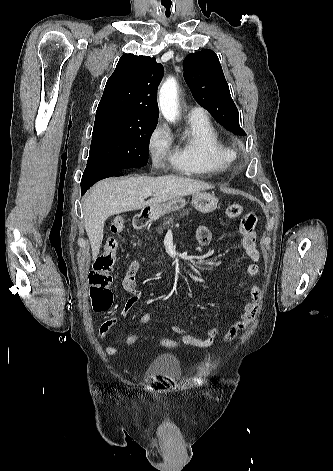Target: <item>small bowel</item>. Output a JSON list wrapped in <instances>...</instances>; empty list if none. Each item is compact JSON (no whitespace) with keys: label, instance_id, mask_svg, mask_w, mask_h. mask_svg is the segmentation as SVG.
Instances as JSON below:
<instances>
[{"label":"small bowel","instance_id":"small-bowel-1","mask_svg":"<svg viewBox=\"0 0 333 471\" xmlns=\"http://www.w3.org/2000/svg\"><path fill=\"white\" fill-rule=\"evenodd\" d=\"M255 216L252 213L246 214L239 225V232L242 235V245L245 253L251 264L246 269L248 277H254L259 273V266L257 262L260 259V253L256 246V233H255ZM196 241L201 246H206L211 241V232L206 226H199L196 230ZM140 269V263L137 260H133L123 278L122 287L126 292L130 294V297L125 302L121 310V316L126 317L134 306L138 303L141 298V291L138 289L136 284V276ZM263 292L262 290L251 283L249 285V300L245 303L241 318L230 326L228 331L224 334V341H231L238 333L246 329L255 319L261 303H262ZM152 317L148 313H144L140 317V323L143 325L150 324ZM117 318L112 317L105 320L98 329V336L101 341H108V333L110 329L116 324ZM171 331L179 335L178 341L181 344L193 346L197 348H208L213 343L218 334L216 327H211L207 330L205 337L200 338L188 333L187 329L179 325H173ZM107 355L112 356L119 352L118 346H108L105 349Z\"/></svg>","mask_w":333,"mask_h":471}]
</instances>
